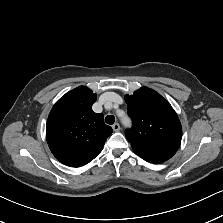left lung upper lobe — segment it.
Wrapping results in <instances>:
<instances>
[{
    "mask_svg": "<svg viewBox=\"0 0 223 223\" xmlns=\"http://www.w3.org/2000/svg\"><path fill=\"white\" fill-rule=\"evenodd\" d=\"M133 127L125 132L134 152L151 163H162L178 150L182 128L171 105L156 91L142 87L125 96Z\"/></svg>",
    "mask_w": 223,
    "mask_h": 223,
    "instance_id": "5c2ea615",
    "label": "left lung upper lobe"
}]
</instances>
